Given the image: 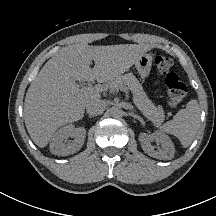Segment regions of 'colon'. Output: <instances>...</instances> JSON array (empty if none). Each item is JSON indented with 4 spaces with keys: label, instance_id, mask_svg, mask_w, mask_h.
Instances as JSON below:
<instances>
[{
    "label": "colon",
    "instance_id": "5ec220e1",
    "mask_svg": "<svg viewBox=\"0 0 216 216\" xmlns=\"http://www.w3.org/2000/svg\"><path fill=\"white\" fill-rule=\"evenodd\" d=\"M157 71L165 76V83L169 96V104L172 108L179 106L187 93L185 82L172 72L174 61L167 55H157L154 59Z\"/></svg>",
    "mask_w": 216,
    "mask_h": 216
}]
</instances>
